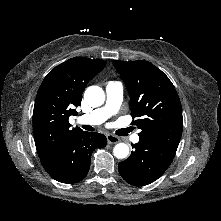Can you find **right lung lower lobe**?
I'll use <instances>...</instances> for the list:
<instances>
[{"label": "right lung lower lobe", "instance_id": "right-lung-lower-lobe-1", "mask_svg": "<svg viewBox=\"0 0 221 221\" xmlns=\"http://www.w3.org/2000/svg\"><path fill=\"white\" fill-rule=\"evenodd\" d=\"M106 144L104 135L84 131L70 138L54 152L40 158L41 163L55 180L67 184L76 183L86 177L92 152Z\"/></svg>", "mask_w": 221, "mask_h": 221}]
</instances>
